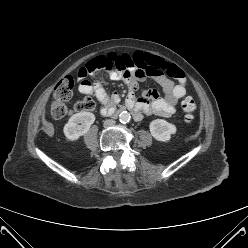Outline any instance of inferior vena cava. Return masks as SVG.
Masks as SVG:
<instances>
[{
  "instance_id": "1",
  "label": "inferior vena cava",
  "mask_w": 248,
  "mask_h": 248,
  "mask_svg": "<svg viewBox=\"0 0 248 248\" xmlns=\"http://www.w3.org/2000/svg\"><path fill=\"white\" fill-rule=\"evenodd\" d=\"M115 124V121L114 120H112V119H108V120H106V121H104V127L105 128H107V127H111V126H113Z\"/></svg>"
}]
</instances>
